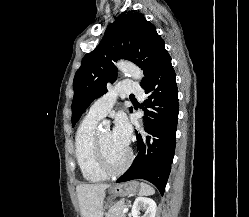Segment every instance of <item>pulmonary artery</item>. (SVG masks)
<instances>
[{
  "instance_id": "obj_1",
  "label": "pulmonary artery",
  "mask_w": 249,
  "mask_h": 217,
  "mask_svg": "<svg viewBox=\"0 0 249 217\" xmlns=\"http://www.w3.org/2000/svg\"><path fill=\"white\" fill-rule=\"evenodd\" d=\"M134 94L143 97V91L137 83L126 80L110 90L107 94L99 98L89 109L88 115L97 119L104 118L112 109L118 96H128Z\"/></svg>"
}]
</instances>
